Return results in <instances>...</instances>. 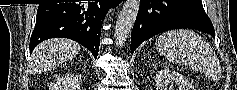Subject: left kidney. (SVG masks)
<instances>
[{
  "instance_id": "1",
  "label": "left kidney",
  "mask_w": 237,
  "mask_h": 90,
  "mask_svg": "<svg viewBox=\"0 0 237 90\" xmlns=\"http://www.w3.org/2000/svg\"><path fill=\"white\" fill-rule=\"evenodd\" d=\"M156 90H193L187 78L173 72V70H160L155 76Z\"/></svg>"
}]
</instances>
